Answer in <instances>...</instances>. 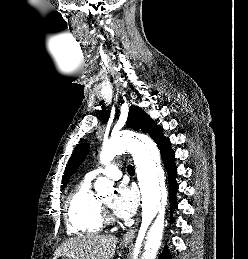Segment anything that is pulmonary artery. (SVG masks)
I'll use <instances>...</instances> for the list:
<instances>
[{
	"label": "pulmonary artery",
	"instance_id": "pulmonary-artery-1",
	"mask_svg": "<svg viewBox=\"0 0 248 259\" xmlns=\"http://www.w3.org/2000/svg\"><path fill=\"white\" fill-rule=\"evenodd\" d=\"M99 175H105L111 179L117 180L122 176V172L119 166L111 164L107 167H98L88 172L86 177L92 180Z\"/></svg>",
	"mask_w": 248,
	"mask_h": 259
}]
</instances>
